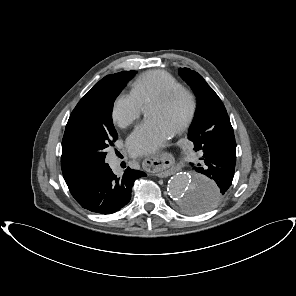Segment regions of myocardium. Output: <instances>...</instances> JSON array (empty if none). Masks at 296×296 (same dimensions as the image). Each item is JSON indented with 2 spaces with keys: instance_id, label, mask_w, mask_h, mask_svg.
<instances>
[{
  "instance_id": "1",
  "label": "myocardium",
  "mask_w": 296,
  "mask_h": 296,
  "mask_svg": "<svg viewBox=\"0 0 296 296\" xmlns=\"http://www.w3.org/2000/svg\"><path fill=\"white\" fill-rule=\"evenodd\" d=\"M180 97H184L187 100L188 109L183 120L174 129V133H180L184 131L193 121L197 109V101L194 93L184 86H178L154 97L149 101V104H166Z\"/></svg>"
}]
</instances>
